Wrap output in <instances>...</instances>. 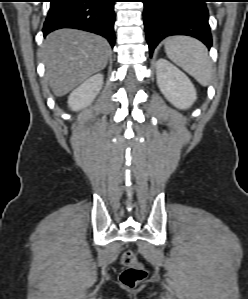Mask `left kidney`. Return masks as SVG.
<instances>
[{"label":"left kidney","mask_w":248,"mask_h":299,"mask_svg":"<svg viewBox=\"0 0 248 299\" xmlns=\"http://www.w3.org/2000/svg\"><path fill=\"white\" fill-rule=\"evenodd\" d=\"M157 84L165 98L176 108L187 109L197 98L190 79L165 59L156 63Z\"/></svg>","instance_id":"obj_1"}]
</instances>
